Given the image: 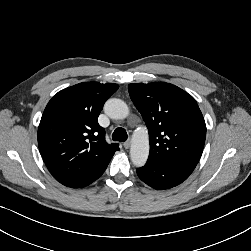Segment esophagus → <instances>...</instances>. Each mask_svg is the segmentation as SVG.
I'll return each instance as SVG.
<instances>
[{
  "mask_svg": "<svg viewBox=\"0 0 251 251\" xmlns=\"http://www.w3.org/2000/svg\"><path fill=\"white\" fill-rule=\"evenodd\" d=\"M125 149H128L130 147V141H127L123 144Z\"/></svg>",
  "mask_w": 251,
  "mask_h": 251,
  "instance_id": "1",
  "label": "esophagus"
}]
</instances>
